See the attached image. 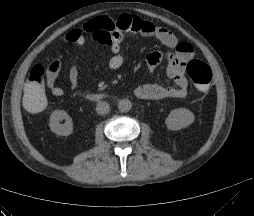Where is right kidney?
Wrapping results in <instances>:
<instances>
[{
	"instance_id": "1",
	"label": "right kidney",
	"mask_w": 254,
	"mask_h": 216,
	"mask_svg": "<svg viewBox=\"0 0 254 216\" xmlns=\"http://www.w3.org/2000/svg\"><path fill=\"white\" fill-rule=\"evenodd\" d=\"M65 119V124L61 125L60 121ZM50 130L60 136H68L73 132V122L68 113L64 110H55L49 120Z\"/></svg>"
}]
</instances>
